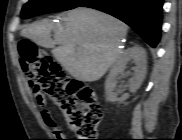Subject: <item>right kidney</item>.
Returning a JSON list of instances; mask_svg holds the SVG:
<instances>
[{
    "instance_id": "right-kidney-1",
    "label": "right kidney",
    "mask_w": 182,
    "mask_h": 140,
    "mask_svg": "<svg viewBox=\"0 0 182 140\" xmlns=\"http://www.w3.org/2000/svg\"><path fill=\"white\" fill-rule=\"evenodd\" d=\"M129 62H133L135 64L134 73L129 80V91L134 93L141 86L147 71L146 52L142 47L134 46L129 48L119 58V60L112 66L109 72L105 82V94L107 101L123 102L129 98V93H125L120 98H118L117 94L113 92L116 87L115 78L126 69Z\"/></svg>"
}]
</instances>
